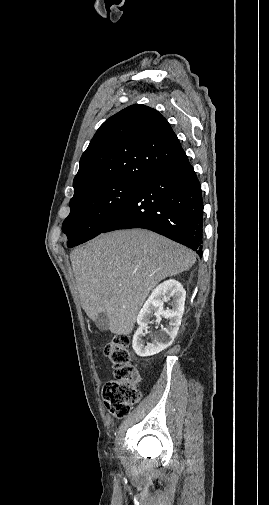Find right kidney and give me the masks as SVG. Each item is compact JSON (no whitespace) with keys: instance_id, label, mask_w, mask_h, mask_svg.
<instances>
[{"instance_id":"obj_1","label":"right kidney","mask_w":269,"mask_h":505,"mask_svg":"<svg viewBox=\"0 0 269 505\" xmlns=\"http://www.w3.org/2000/svg\"><path fill=\"white\" fill-rule=\"evenodd\" d=\"M186 291L177 280L170 279L159 284L151 293L137 316L139 328L133 336L132 347L141 357L153 356L169 347L175 339L184 313ZM172 299V300H171ZM171 309L164 310V302L170 301ZM159 320H169L167 328L157 331L152 343L145 345L142 337L153 315Z\"/></svg>"}]
</instances>
